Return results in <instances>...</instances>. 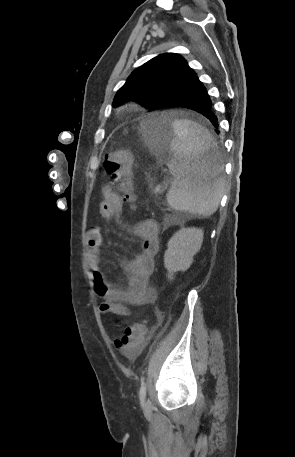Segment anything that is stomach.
Listing matches in <instances>:
<instances>
[{
	"mask_svg": "<svg viewBox=\"0 0 295 457\" xmlns=\"http://www.w3.org/2000/svg\"><path fill=\"white\" fill-rule=\"evenodd\" d=\"M143 137L151 146L162 145L167 152H171V143L176 140L173 121L159 117H148L141 126Z\"/></svg>",
	"mask_w": 295,
	"mask_h": 457,
	"instance_id": "1",
	"label": "stomach"
}]
</instances>
